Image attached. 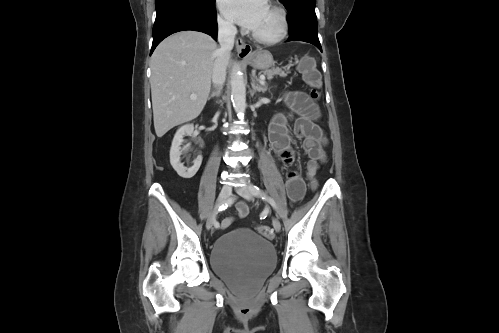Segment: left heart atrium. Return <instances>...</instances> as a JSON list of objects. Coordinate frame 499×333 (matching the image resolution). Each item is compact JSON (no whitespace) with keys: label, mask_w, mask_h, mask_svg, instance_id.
Wrapping results in <instances>:
<instances>
[{"label":"left heart atrium","mask_w":499,"mask_h":333,"mask_svg":"<svg viewBox=\"0 0 499 333\" xmlns=\"http://www.w3.org/2000/svg\"><path fill=\"white\" fill-rule=\"evenodd\" d=\"M221 12L229 20L253 30L268 8L267 0H218Z\"/></svg>","instance_id":"left-heart-atrium-1"}]
</instances>
